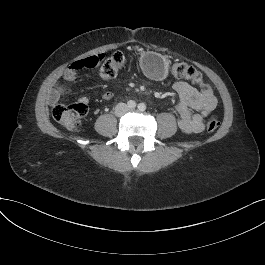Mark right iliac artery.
Here are the masks:
<instances>
[{
    "instance_id": "right-iliac-artery-1",
    "label": "right iliac artery",
    "mask_w": 265,
    "mask_h": 265,
    "mask_svg": "<svg viewBox=\"0 0 265 265\" xmlns=\"http://www.w3.org/2000/svg\"><path fill=\"white\" fill-rule=\"evenodd\" d=\"M127 105L129 108L134 109L136 107V102L133 100H130L127 102Z\"/></svg>"
}]
</instances>
